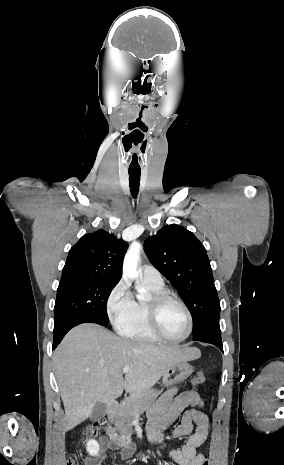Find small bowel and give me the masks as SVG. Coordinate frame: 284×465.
<instances>
[{
	"instance_id": "small-bowel-1",
	"label": "small bowel",
	"mask_w": 284,
	"mask_h": 465,
	"mask_svg": "<svg viewBox=\"0 0 284 465\" xmlns=\"http://www.w3.org/2000/svg\"><path fill=\"white\" fill-rule=\"evenodd\" d=\"M204 402L192 389L181 391L173 387L165 391L148 412L147 434L150 442L163 447L168 458L175 465H204L205 457L198 452L206 442L209 430V418L199 408ZM188 407L191 409L185 411ZM181 423L172 431L173 438L187 436L180 449L164 446L161 430L170 426L183 413ZM134 453V446L127 443L120 451L122 460L129 459ZM97 465H102L98 463Z\"/></svg>"
}]
</instances>
